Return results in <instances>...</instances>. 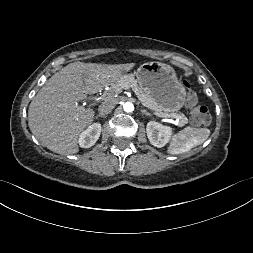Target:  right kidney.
I'll list each match as a JSON object with an SVG mask.
<instances>
[{"instance_id":"right-kidney-1","label":"right kidney","mask_w":253,"mask_h":253,"mask_svg":"<svg viewBox=\"0 0 253 253\" xmlns=\"http://www.w3.org/2000/svg\"><path fill=\"white\" fill-rule=\"evenodd\" d=\"M101 134V124L94 123L90 125L85 131H83L79 138L78 143L82 148L92 147L99 139Z\"/></svg>"}]
</instances>
